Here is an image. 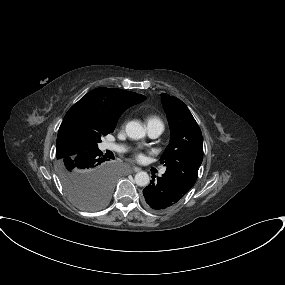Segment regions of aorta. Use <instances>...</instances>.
Returning a JSON list of instances; mask_svg holds the SVG:
<instances>
[{"label": "aorta", "instance_id": "aorta-1", "mask_svg": "<svg viewBox=\"0 0 285 285\" xmlns=\"http://www.w3.org/2000/svg\"><path fill=\"white\" fill-rule=\"evenodd\" d=\"M126 134L128 137L138 140L142 139L146 135V130L139 121H130L125 127ZM150 182V178L147 172L141 171L135 175V183L138 186H147Z\"/></svg>", "mask_w": 285, "mask_h": 285}]
</instances>
